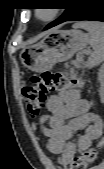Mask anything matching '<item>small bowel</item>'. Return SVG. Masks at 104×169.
<instances>
[{"label": "small bowel", "mask_w": 104, "mask_h": 169, "mask_svg": "<svg viewBox=\"0 0 104 169\" xmlns=\"http://www.w3.org/2000/svg\"><path fill=\"white\" fill-rule=\"evenodd\" d=\"M47 108L50 114L40 120L41 130L49 139L48 149L60 155L64 165L102 134L100 117L90 112L89 102L76 90L49 96Z\"/></svg>", "instance_id": "small-bowel-1"}]
</instances>
